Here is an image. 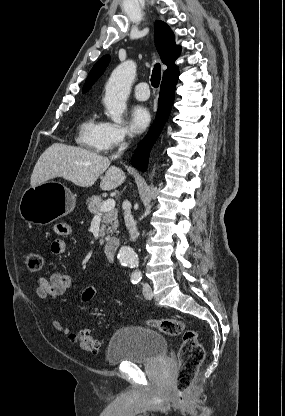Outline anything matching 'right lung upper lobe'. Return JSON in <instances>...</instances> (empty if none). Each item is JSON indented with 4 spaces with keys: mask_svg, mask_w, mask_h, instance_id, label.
I'll list each match as a JSON object with an SVG mask.
<instances>
[{
    "mask_svg": "<svg viewBox=\"0 0 285 416\" xmlns=\"http://www.w3.org/2000/svg\"><path fill=\"white\" fill-rule=\"evenodd\" d=\"M154 42L161 61L168 66L163 73V80L172 78L179 74L175 60L179 56L180 47L174 42V34L169 26L163 21L155 22V38ZM109 56H103L90 71L83 87L82 93L87 92L93 83L100 77L109 63Z\"/></svg>",
    "mask_w": 285,
    "mask_h": 416,
    "instance_id": "cb5924a9",
    "label": "right lung upper lobe"
}]
</instances>
